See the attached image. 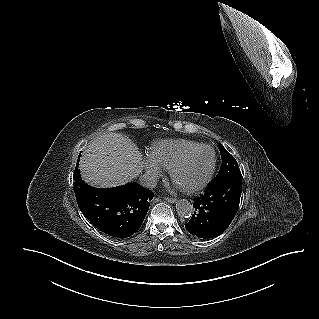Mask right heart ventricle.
Instances as JSON below:
<instances>
[{
	"instance_id": "e07e8e85",
	"label": "right heart ventricle",
	"mask_w": 319,
	"mask_h": 319,
	"mask_svg": "<svg viewBox=\"0 0 319 319\" xmlns=\"http://www.w3.org/2000/svg\"><path fill=\"white\" fill-rule=\"evenodd\" d=\"M200 143L187 139H166L152 144L149 157L161 168L170 170L178 158Z\"/></svg>"
}]
</instances>
